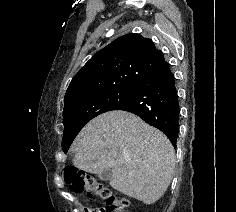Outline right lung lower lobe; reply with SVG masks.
Wrapping results in <instances>:
<instances>
[{
	"instance_id": "obj_1",
	"label": "right lung lower lobe",
	"mask_w": 236,
	"mask_h": 212,
	"mask_svg": "<svg viewBox=\"0 0 236 212\" xmlns=\"http://www.w3.org/2000/svg\"><path fill=\"white\" fill-rule=\"evenodd\" d=\"M116 110L139 116L165 133L176 148L180 109L175 78L164 59L138 82L131 97Z\"/></svg>"
}]
</instances>
